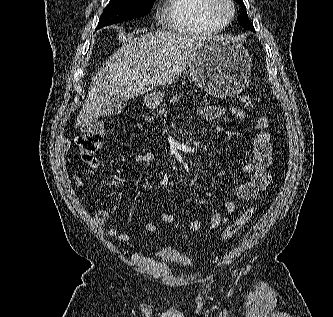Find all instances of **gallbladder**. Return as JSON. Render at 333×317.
<instances>
[{
  "label": "gallbladder",
  "mask_w": 333,
  "mask_h": 317,
  "mask_svg": "<svg viewBox=\"0 0 333 317\" xmlns=\"http://www.w3.org/2000/svg\"><path fill=\"white\" fill-rule=\"evenodd\" d=\"M127 104V99L120 96H113L102 105L103 115H117L123 111Z\"/></svg>",
  "instance_id": "gallbladder-1"
}]
</instances>
